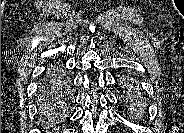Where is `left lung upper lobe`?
I'll return each mask as SVG.
<instances>
[{"label": "left lung upper lobe", "mask_w": 184, "mask_h": 133, "mask_svg": "<svg viewBox=\"0 0 184 133\" xmlns=\"http://www.w3.org/2000/svg\"><path fill=\"white\" fill-rule=\"evenodd\" d=\"M131 84H132V82H128V88L131 87ZM129 85H130V87H129ZM131 90H132V88H131ZM135 95H136V94H135ZM126 96H127V98H125V99H126V101L128 102V104L136 103V100H134V99H136V98L134 97V94H133V93L131 94V93L129 92V94H127Z\"/></svg>", "instance_id": "left-lung-upper-lobe-1"}]
</instances>
